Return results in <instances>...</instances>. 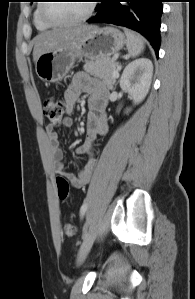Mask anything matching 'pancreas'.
I'll use <instances>...</instances> for the list:
<instances>
[{"mask_svg": "<svg viewBox=\"0 0 195 299\" xmlns=\"http://www.w3.org/2000/svg\"><path fill=\"white\" fill-rule=\"evenodd\" d=\"M116 67L117 63L114 58H101L87 61L83 68L86 73L102 79L108 88H112L116 81V77L113 75Z\"/></svg>", "mask_w": 195, "mask_h": 299, "instance_id": "pancreas-1", "label": "pancreas"}]
</instances>
